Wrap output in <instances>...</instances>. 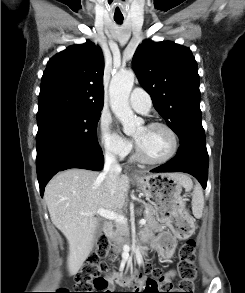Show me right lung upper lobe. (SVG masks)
I'll return each mask as SVG.
<instances>
[{
  "label": "right lung upper lobe",
  "instance_id": "cb5924a9",
  "mask_svg": "<svg viewBox=\"0 0 245 293\" xmlns=\"http://www.w3.org/2000/svg\"><path fill=\"white\" fill-rule=\"evenodd\" d=\"M103 73L104 58L99 46L88 40L66 48L47 63L41 79L39 110H102Z\"/></svg>",
  "mask_w": 245,
  "mask_h": 293
}]
</instances>
